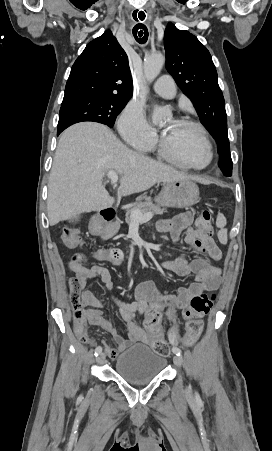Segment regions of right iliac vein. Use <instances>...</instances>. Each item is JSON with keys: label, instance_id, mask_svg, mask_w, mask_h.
<instances>
[{"label": "right iliac vein", "instance_id": "obj_1", "mask_svg": "<svg viewBox=\"0 0 272 451\" xmlns=\"http://www.w3.org/2000/svg\"><path fill=\"white\" fill-rule=\"evenodd\" d=\"M104 361H105V355H104V353H100V354L98 355V357L96 358V363H97L98 365H101V364L104 363Z\"/></svg>", "mask_w": 272, "mask_h": 451}]
</instances>
